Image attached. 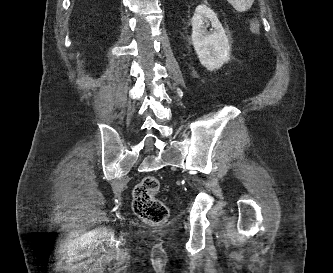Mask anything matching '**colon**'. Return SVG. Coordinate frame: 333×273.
<instances>
[{"instance_id": "5ec220e1", "label": "colon", "mask_w": 333, "mask_h": 273, "mask_svg": "<svg viewBox=\"0 0 333 273\" xmlns=\"http://www.w3.org/2000/svg\"><path fill=\"white\" fill-rule=\"evenodd\" d=\"M251 30L258 34L260 24L252 21ZM159 190V181L154 176H146L134 188L132 208L134 213L145 222L160 225L166 222L169 216L167 206L156 197Z\"/></svg>"}]
</instances>
